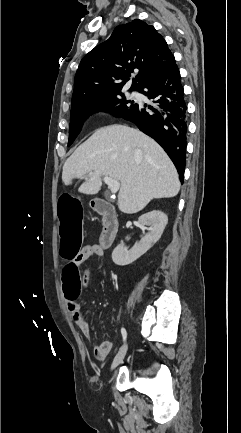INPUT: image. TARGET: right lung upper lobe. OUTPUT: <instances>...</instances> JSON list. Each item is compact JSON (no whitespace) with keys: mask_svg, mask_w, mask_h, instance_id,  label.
Listing matches in <instances>:
<instances>
[{"mask_svg":"<svg viewBox=\"0 0 241 433\" xmlns=\"http://www.w3.org/2000/svg\"><path fill=\"white\" fill-rule=\"evenodd\" d=\"M175 58L156 29L141 20L119 25L111 37L84 56L78 67L71 105L120 93L138 70L130 90L164 73Z\"/></svg>","mask_w":241,"mask_h":433,"instance_id":"right-lung-upper-lobe-1","label":"right lung upper lobe"}]
</instances>
